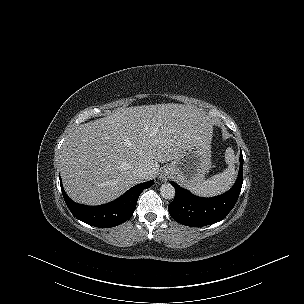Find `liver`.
<instances>
[{
    "mask_svg": "<svg viewBox=\"0 0 304 304\" xmlns=\"http://www.w3.org/2000/svg\"><path fill=\"white\" fill-rule=\"evenodd\" d=\"M212 126L202 111L171 103L121 108L81 124L61 152L64 188L82 204L110 202L142 182L137 168L154 179L159 163L174 160L196 143L209 148Z\"/></svg>",
    "mask_w": 304,
    "mask_h": 304,
    "instance_id": "6515ba94",
    "label": "liver"
}]
</instances>
